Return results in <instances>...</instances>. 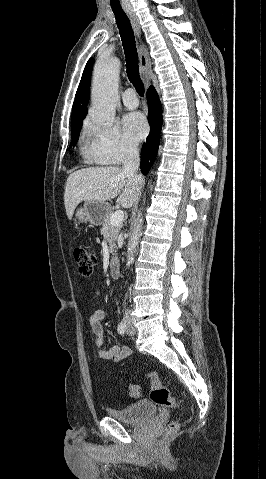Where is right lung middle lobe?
<instances>
[{
    "instance_id": "right-lung-middle-lobe-1",
    "label": "right lung middle lobe",
    "mask_w": 266,
    "mask_h": 479,
    "mask_svg": "<svg viewBox=\"0 0 266 479\" xmlns=\"http://www.w3.org/2000/svg\"><path fill=\"white\" fill-rule=\"evenodd\" d=\"M81 127H82V120L72 122L71 132H72V144H73V146H75L76 142L78 141Z\"/></svg>"
}]
</instances>
